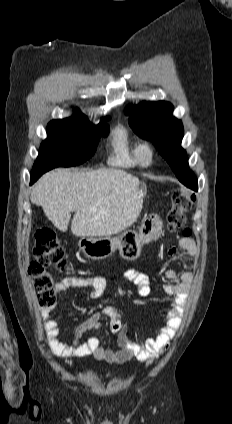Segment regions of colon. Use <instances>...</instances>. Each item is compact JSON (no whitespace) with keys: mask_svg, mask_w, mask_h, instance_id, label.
Listing matches in <instances>:
<instances>
[{"mask_svg":"<svg viewBox=\"0 0 232 424\" xmlns=\"http://www.w3.org/2000/svg\"><path fill=\"white\" fill-rule=\"evenodd\" d=\"M195 200V194L187 189L178 188L173 191L167 214V227L171 233L182 229L184 237L191 236V229L186 225V213ZM49 267L61 272L71 270V264L54 232L42 228L36 233L33 259L28 268V274L33 278L38 304L42 308H51L56 300L55 279L48 270Z\"/></svg>","mask_w":232,"mask_h":424,"instance_id":"1","label":"colon"}]
</instances>
